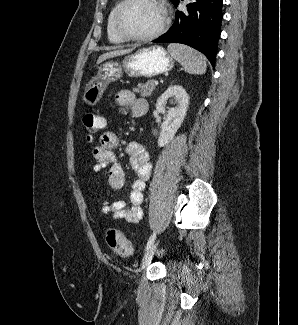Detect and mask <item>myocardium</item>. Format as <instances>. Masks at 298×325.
Instances as JSON below:
<instances>
[{"mask_svg":"<svg viewBox=\"0 0 298 325\" xmlns=\"http://www.w3.org/2000/svg\"><path fill=\"white\" fill-rule=\"evenodd\" d=\"M140 1L149 2L152 5H154L161 15V22H160L158 28L155 29L150 34L142 36V37H134V36L127 34L121 28L120 20H121L123 13L125 12V10L127 9V7L129 5L136 3V2H140ZM166 25H167V12H166V9H165L163 3L160 0H126L118 8L117 13L114 18V21H113L114 30H115L116 34L122 40H124L126 42H137V43L148 42V41L154 40L155 38H157L159 35H161L163 33V31L166 28Z\"/></svg>","mask_w":298,"mask_h":325,"instance_id":"myocardium-1","label":"myocardium"}]
</instances>
